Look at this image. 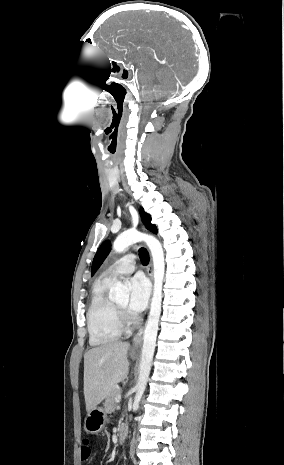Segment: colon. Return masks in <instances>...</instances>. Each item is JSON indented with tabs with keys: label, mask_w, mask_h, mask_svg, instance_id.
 <instances>
[{
	"label": "colon",
	"mask_w": 284,
	"mask_h": 465,
	"mask_svg": "<svg viewBox=\"0 0 284 465\" xmlns=\"http://www.w3.org/2000/svg\"><path fill=\"white\" fill-rule=\"evenodd\" d=\"M91 454V448L89 447V440L83 438L81 440V458L87 460Z\"/></svg>",
	"instance_id": "5ec220e1"
}]
</instances>
